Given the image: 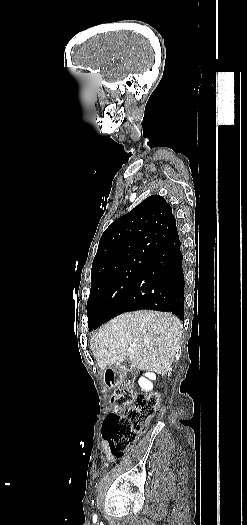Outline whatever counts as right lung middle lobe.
<instances>
[{
    "label": "right lung middle lobe",
    "mask_w": 247,
    "mask_h": 525,
    "mask_svg": "<svg viewBox=\"0 0 247 525\" xmlns=\"http://www.w3.org/2000/svg\"><path fill=\"white\" fill-rule=\"evenodd\" d=\"M146 261L147 257H144L125 268L91 273L87 302L89 329L98 327L116 315V309L143 271Z\"/></svg>",
    "instance_id": "right-lung-middle-lobe-1"
}]
</instances>
